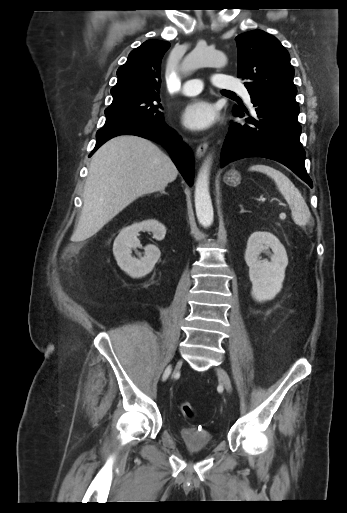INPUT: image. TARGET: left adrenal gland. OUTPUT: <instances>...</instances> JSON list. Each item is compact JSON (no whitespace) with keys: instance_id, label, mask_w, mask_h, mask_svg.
<instances>
[{"instance_id":"obj_1","label":"left adrenal gland","mask_w":347,"mask_h":513,"mask_svg":"<svg viewBox=\"0 0 347 513\" xmlns=\"http://www.w3.org/2000/svg\"><path fill=\"white\" fill-rule=\"evenodd\" d=\"M239 206H240V208H241L240 213H244V212H246L242 204H241V205H239Z\"/></svg>"}]
</instances>
